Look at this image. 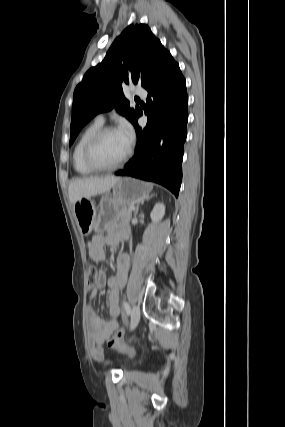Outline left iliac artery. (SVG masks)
<instances>
[{
  "label": "left iliac artery",
  "mask_w": 285,
  "mask_h": 427,
  "mask_svg": "<svg viewBox=\"0 0 285 427\" xmlns=\"http://www.w3.org/2000/svg\"><path fill=\"white\" fill-rule=\"evenodd\" d=\"M123 307H124V309L126 311V314L129 315L130 312H131V308H130V305H129V303L127 301H123Z\"/></svg>",
  "instance_id": "obj_1"
}]
</instances>
